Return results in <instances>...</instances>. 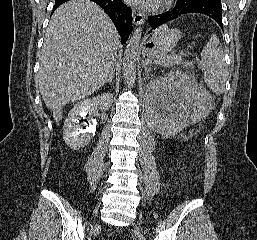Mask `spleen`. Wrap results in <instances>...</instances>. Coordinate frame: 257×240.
<instances>
[{
  "label": "spleen",
  "instance_id": "3e777b00",
  "mask_svg": "<svg viewBox=\"0 0 257 240\" xmlns=\"http://www.w3.org/2000/svg\"><path fill=\"white\" fill-rule=\"evenodd\" d=\"M160 28L166 29L167 25ZM201 62L205 68L204 82L207 87L216 94H222L225 91L227 69L223 49L219 46V39L215 34L211 35L209 42L203 48Z\"/></svg>",
  "mask_w": 257,
  "mask_h": 240
}]
</instances>
